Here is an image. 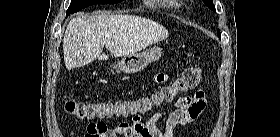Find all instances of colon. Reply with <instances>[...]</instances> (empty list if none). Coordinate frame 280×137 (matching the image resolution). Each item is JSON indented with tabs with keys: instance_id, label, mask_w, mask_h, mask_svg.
Wrapping results in <instances>:
<instances>
[{
	"instance_id": "5ec220e1",
	"label": "colon",
	"mask_w": 280,
	"mask_h": 137,
	"mask_svg": "<svg viewBox=\"0 0 280 137\" xmlns=\"http://www.w3.org/2000/svg\"><path fill=\"white\" fill-rule=\"evenodd\" d=\"M202 78V69L194 66L184 69L169 85L157 90L153 95L126 101H67L64 111L78 119L115 116H140L152 108L171 100L179 92L194 90ZM137 133L127 132L121 137H138Z\"/></svg>"
}]
</instances>
